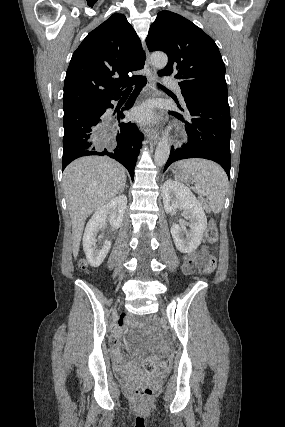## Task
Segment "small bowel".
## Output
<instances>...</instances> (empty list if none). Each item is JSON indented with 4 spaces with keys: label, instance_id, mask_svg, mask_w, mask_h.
<instances>
[{
    "label": "small bowel",
    "instance_id": "obj_1",
    "mask_svg": "<svg viewBox=\"0 0 285 427\" xmlns=\"http://www.w3.org/2000/svg\"><path fill=\"white\" fill-rule=\"evenodd\" d=\"M185 263L186 262L184 261V267H185ZM126 323H127V320L125 318H121L118 321L117 325L119 326V328H122L126 325ZM132 354L134 356H137L140 354V351L138 349H134L132 351ZM111 357L114 364L120 371L127 372L131 369V363L129 361L123 360L122 350L118 345H113V348L111 351Z\"/></svg>",
    "mask_w": 285,
    "mask_h": 427
}]
</instances>
